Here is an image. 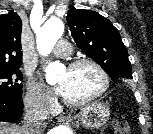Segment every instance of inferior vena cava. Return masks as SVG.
I'll return each mask as SVG.
<instances>
[{"label":"inferior vena cava","mask_w":153,"mask_h":134,"mask_svg":"<svg viewBox=\"0 0 153 134\" xmlns=\"http://www.w3.org/2000/svg\"><path fill=\"white\" fill-rule=\"evenodd\" d=\"M48 115L36 102L25 104L23 134H42L47 126Z\"/></svg>","instance_id":"inferior-vena-cava-1"}]
</instances>
